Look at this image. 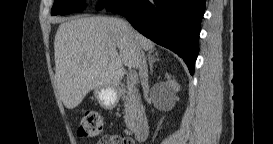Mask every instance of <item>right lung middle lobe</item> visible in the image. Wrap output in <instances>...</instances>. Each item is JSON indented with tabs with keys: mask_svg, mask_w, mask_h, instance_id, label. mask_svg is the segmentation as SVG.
<instances>
[{
	"mask_svg": "<svg viewBox=\"0 0 273 144\" xmlns=\"http://www.w3.org/2000/svg\"><path fill=\"white\" fill-rule=\"evenodd\" d=\"M112 0H99L100 9L106 7ZM84 8L83 0H55L51 10L52 15L79 12Z\"/></svg>",
	"mask_w": 273,
	"mask_h": 144,
	"instance_id": "dd1d6c3e",
	"label": "right lung middle lobe"
}]
</instances>
